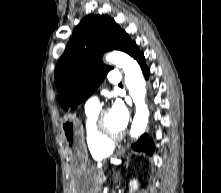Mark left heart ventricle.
<instances>
[{
    "label": "left heart ventricle",
    "instance_id": "b2bd125f",
    "mask_svg": "<svg viewBox=\"0 0 221 193\" xmlns=\"http://www.w3.org/2000/svg\"><path fill=\"white\" fill-rule=\"evenodd\" d=\"M104 125L109 133L119 134L122 132V130L118 127L110 112H108L104 117Z\"/></svg>",
    "mask_w": 221,
    "mask_h": 193
}]
</instances>
